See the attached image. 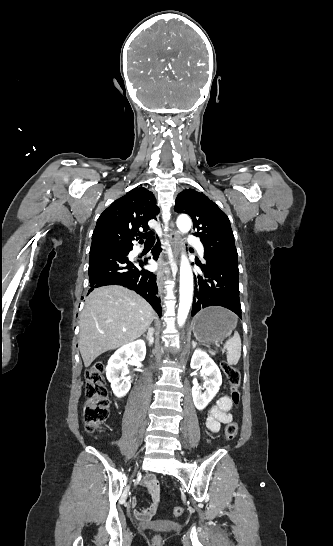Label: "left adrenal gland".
<instances>
[{
	"label": "left adrenal gland",
	"instance_id": "left-adrenal-gland-1",
	"mask_svg": "<svg viewBox=\"0 0 333 546\" xmlns=\"http://www.w3.org/2000/svg\"><path fill=\"white\" fill-rule=\"evenodd\" d=\"M196 345H197V343L194 342V341H192V347H193V349L196 347Z\"/></svg>",
	"mask_w": 333,
	"mask_h": 546
}]
</instances>
